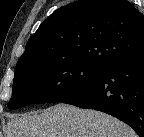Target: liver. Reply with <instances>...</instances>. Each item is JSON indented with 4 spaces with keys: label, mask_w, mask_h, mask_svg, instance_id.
<instances>
[{
    "label": "liver",
    "mask_w": 144,
    "mask_h": 137,
    "mask_svg": "<svg viewBox=\"0 0 144 137\" xmlns=\"http://www.w3.org/2000/svg\"><path fill=\"white\" fill-rule=\"evenodd\" d=\"M7 137H137L119 119L96 110L59 103L42 112L11 115Z\"/></svg>",
    "instance_id": "liver-1"
}]
</instances>
